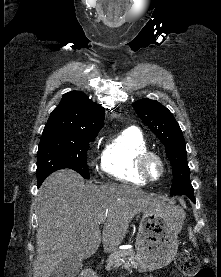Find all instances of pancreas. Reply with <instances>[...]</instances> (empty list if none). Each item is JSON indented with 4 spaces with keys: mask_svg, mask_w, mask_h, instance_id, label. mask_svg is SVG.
I'll use <instances>...</instances> for the list:
<instances>
[{
    "mask_svg": "<svg viewBox=\"0 0 221 277\" xmlns=\"http://www.w3.org/2000/svg\"><path fill=\"white\" fill-rule=\"evenodd\" d=\"M124 268H130L137 266L136 255L133 250H119L114 252L107 259V270L117 268L119 266Z\"/></svg>",
    "mask_w": 221,
    "mask_h": 277,
    "instance_id": "obj_1",
    "label": "pancreas"
}]
</instances>
